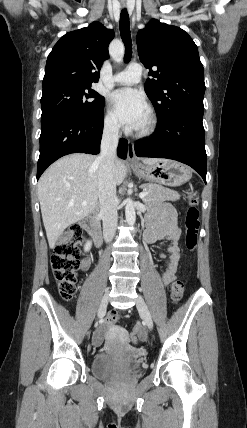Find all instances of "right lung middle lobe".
<instances>
[{"mask_svg": "<svg viewBox=\"0 0 247 428\" xmlns=\"http://www.w3.org/2000/svg\"><path fill=\"white\" fill-rule=\"evenodd\" d=\"M104 102V97L91 86H62L43 92L41 117L65 113L81 118H95L103 112Z\"/></svg>", "mask_w": 247, "mask_h": 428, "instance_id": "right-lung-middle-lobe-1", "label": "right lung middle lobe"}]
</instances>
